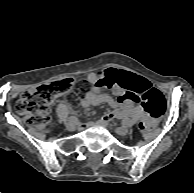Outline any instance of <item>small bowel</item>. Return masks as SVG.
Returning a JSON list of instances; mask_svg holds the SVG:
<instances>
[{"instance_id": "1", "label": "small bowel", "mask_w": 194, "mask_h": 193, "mask_svg": "<svg viewBox=\"0 0 194 193\" xmlns=\"http://www.w3.org/2000/svg\"><path fill=\"white\" fill-rule=\"evenodd\" d=\"M118 76V70L113 68L103 69L98 72L88 74L87 82L90 85V90L80 98L79 103L82 107L87 108L91 106H99L108 104L113 110L105 113L99 121L100 125L107 122L125 117L132 114L134 118L143 117L142 109L133 106L130 99L121 97L114 99L106 92V87L110 81H114ZM147 86H152L143 79L137 80V91L140 92ZM153 87V86H152Z\"/></svg>"}]
</instances>
